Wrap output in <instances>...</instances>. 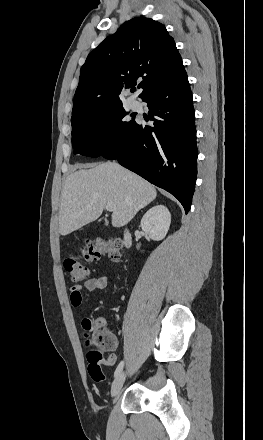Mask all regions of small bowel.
<instances>
[{
  "instance_id": "obj_1",
  "label": "small bowel",
  "mask_w": 263,
  "mask_h": 440,
  "mask_svg": "<svg viewBox=\"0 0 263 440\" xmlns=\"http://www.w3.org/2000/svg\"><path fill=\"white\" fill-rule=\"evenodd\" d=\"M111 282V278L108 275H102L98 277H90L86 279L81 285L73 286L70 289V303L73 307H80L83 302V291L93 292L97 290L105 289ZM95 325L102 329L106 325L104 318L95 319ZM105 333L111 336V341L106 346L108 351H114L118 347V340L112 334L111 331H105Z\"/></svg>"
}]
</instances>
